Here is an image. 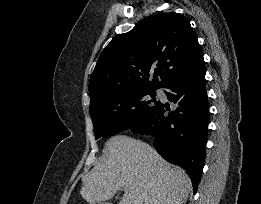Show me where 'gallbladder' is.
<instances>
[{"label": "gallbladder", "mask_w": 261, "mask_h": 204, "mask_svg": "<svg viewBox=\"0 0 261 204\" xmlns=\"http://www.w3.org/2000/svg\"><path fill=\"white\" fill-rule=\"evenodd\" d=\"M98 204H110V203H108V202H100Z\"/></svg>", "instance_id": "1"}]
</instances>
